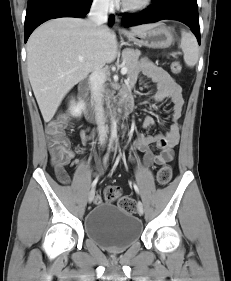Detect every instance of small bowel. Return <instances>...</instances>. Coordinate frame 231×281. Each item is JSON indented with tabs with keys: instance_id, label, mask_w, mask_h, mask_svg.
Listing matches in <instances>:
<instances>
[{
	"instance_id": "c3829d8e",
	"label": "small bowel",
	"mask_w": 231,
	"mask_h": 281,
	"mask_svg": "<svg viewBox=\"0 0 231 281\" xmlns=\"http://www.w3.org/2000/svg\"><path fill=\"white\" fill-rule=\"evenodd\" d=\"M141 76L150 78L156 84L157 88L153 96V99L156 102L169 99L172 103V123L165 134H155L151 132V129L155 125L154 119L151 117L146 118L144 121V128L148 132L140 135L135 140L131 150L130 159L131 161H134L135 151H140L143 153V161L145 165H164L173 160L174 148L180 139V118L184 105L182 90L176 81L164 69L156 66L147 59H144L138 69L131 74L128 79V86L134 85ZM80 135L83 144H86L92 137V135L86 130H82ZM69 164H76V160L74 159V154L72 152L70 154ZM54 169L55 174L61 183H69L70 177L64 166H56Z\"/></svg>"
}]
</instances>
